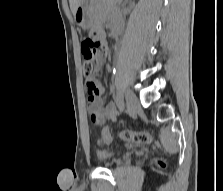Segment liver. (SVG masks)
<instances>
[{"label": "liver", "instance_id": "1", "mask_svg": "<svg viewBox=\"0 0 223 191\" xmlns=\"http://www.w3.org/2000/svg\"><path fill=\"white\" fill-rule=\"evenodd\" d=\"M81 2H82V0H69L70 9H71L73 15H75L76 9L78 8V6L80 5Z\"/></svg>", "mask_w": 223, "mask_h": 191}]
</instances>
